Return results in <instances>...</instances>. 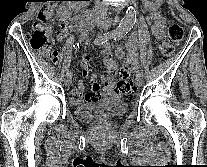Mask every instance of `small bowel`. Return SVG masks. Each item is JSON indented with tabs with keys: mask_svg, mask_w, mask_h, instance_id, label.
<instances>
[{
	"mask_svg": "<svg viewBox=\"0 0 207 167\" xmlns=\"http://www.w3.org/2000/svg\"><path fill=\"white\" fill-rule=\"evenodd\" d=\"M157 0H154L156 2ZM151 35L158 41L162 40L165 36L164 26L165 19L156 10H151ZM69 34L68 28H64L59 34L57 40L62 42L65 37ZM140 42V35L136 32L132 33L127 42V55H124L123 51L117 50V57L123 60L122 71L127 75L134 72L137 67V47ZM101 53L103 56V62L106 66L109 76L98 78L93 72L90 65V57L83 55L81 57L80 64L83 68V76L88 77L90 80L89 91L84 96V84L79 82L75 87L72 88V97L70 98V104L73 106L80 105L83 101L90 102L96 101L100 98L116 96L115 90V79L114 76L118 71V66L111 54V50L108 44L102 45ZM99 80L102 83V87L99 84Z\"/></svg>",
	"mask_w": 207,
	"mask_h": 167,
	"instance_id": "1",
	"label": "small bowel"
}]
</instances>
